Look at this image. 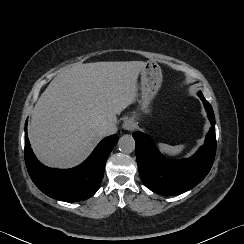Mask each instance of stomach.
<instances>
[{
    "mask_svg": "<svg viewBox=\"0 0 244 244\" xmlns=\"http://www.w3.org/2000/svg\"><path fill=\"white\" fill-rule=\"evenodd\" d=\"M140 76V110L143 113H148L150 103L161 88L163 81L161 67L156 62H146L140 71Z\"/></svg>",
    "mask_w": 244,
    "mask_h": 244,
    "instance_id": "obj_1",
    "label": "stomach"
}]
</instances>
